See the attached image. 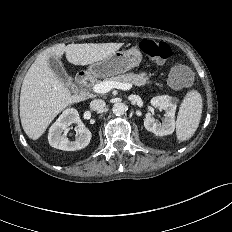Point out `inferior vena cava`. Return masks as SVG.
Listing matches in <instances>:
<instances>
[{
  "label": "inferior vena cava",
  "mask_w": 232,
  "mask_h": 232,
  "mask_svg": "<svg viewBox=\"0 0 232 232\" xmlns=\"http://www.w3.org/2000/svg\"><path fill=\"white\" fill-rule=\"evenodd\" d=\"M106 103L102 99H95L91 101L90 108L93 111H101L105 107Z\"/></svg>",
  "instance_id": "602c4592"
}]
</instances>
